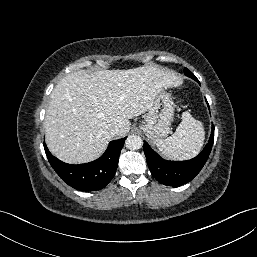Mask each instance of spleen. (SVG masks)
<instances>
[{"mask_svg":"<svg viewBox=\"0 0 257 257\" xmlns=\"http://www.w3.org/2000/svg\"><path fill=\"white\" fill-rule=\"evenodd\" d=\"M205 131L201 121L192 117L189 112L182 114V122L175 133L162 140H155V145L166 157L174 160H185L195 157L201 150Z\"/></svg>","mask_w":257,"mask_h":257,"instance_id":"3e777b00","label":"spleen"}]
</instances>
